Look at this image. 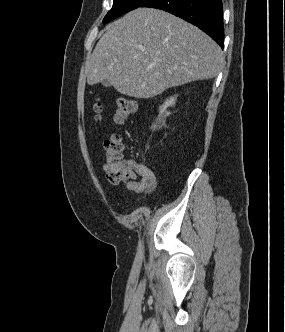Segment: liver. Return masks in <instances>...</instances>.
Listing matches in <instances>:
<instances>
[{
	"label": "liver",
	"instance_id": "6515ba94",
	"mask_svg": "<svg viewBox=\"0 0 285 332\" xmlns=\"http://www.w3.org/2000/svg\"><path fill=\"white\" fill-rule=\"evenodd\" d=\"M86 59L87 83L107 80L126 96L146 99L168 88L216 77L218 44L170 13L137 8L106 27Z\"/></svg>",
	"mask_w": 285,
	"mask_h": 332
}]
</instances>
